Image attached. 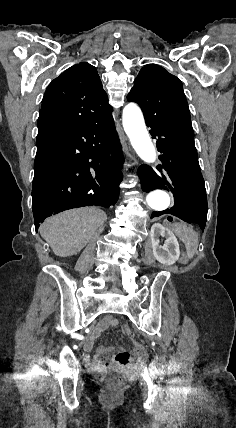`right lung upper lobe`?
Returning <instances> with one entry per match:
<instances>
[{"label": "right lung upper lobe", "instance_id": "right-lung-upper-lobe-1", "mask_svg": "<svg viewBox=\"0 0 236 428\" xmlns=\"http://www.w3.org/2000/svg\"><path fill=\"white\" fill-rule=\"evenodd\" d=\"M111 113L96 68L81 62L47 87L39 111L37 139L89 124Z\"/></svg>", "mask_w": 236, "mask_h": 428}]
</instances>
